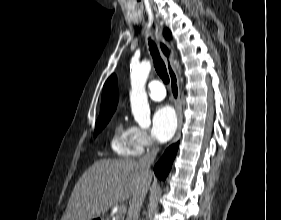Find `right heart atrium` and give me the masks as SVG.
Here are the masks:
<instances>
[{"label": "right heart atrium", "mask_w": 281, "mask_h": 220, "mask_svg": "<svg viewBox=\"0 0 281 220\" xmlns=\"http://www.w3.org/2000/svg\"><path fill=\"white\" fill-rule=\"evenodd\" d=\"M133 143L139 153L152 149L155 144L148 132L139 127H132Z\"/></svg>", "instance_id": "1"}]
</instances>
